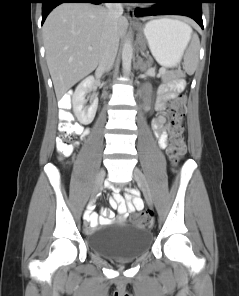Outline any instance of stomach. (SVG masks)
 Masks as SVG:
<instances>
[{"label":"stomach","instance_id":"obj_1","mask_svg":"<svg viewBox=\"0 0 239 296\" xmlns=\"http://www.w3.org/2000/svg\"><path fill=\"white\" fill-rule=\"evenodd\" d=\"M148 42L157 62L165 67H175L181 60L189 41L186 24L170 18L149 21L144 27L138 26ZM144 48V47H142Z\"/></svg>","mask_w":239,"mask_h":296}]
</instances>
